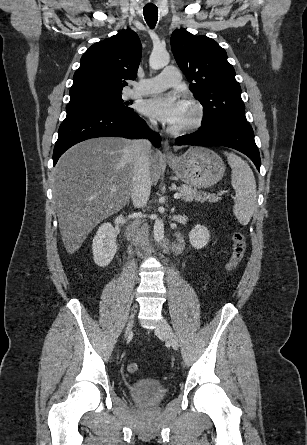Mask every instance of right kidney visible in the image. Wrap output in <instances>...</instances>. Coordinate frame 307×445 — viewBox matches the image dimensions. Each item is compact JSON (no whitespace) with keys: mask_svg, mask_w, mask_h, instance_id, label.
Listing matches in <instances>:
<instances>
[{"mask_svg":"<svg viewBox=\"0 0 307 445\" xmlns=\"http://www.w3.org/2000/svg\"><path fill=\"white\" fill-rule=\"evenodd\" d=\"M117 235L111 223H104L99 227L92 245L93 259L98 267H107L111 263L117 251Z\"/></svg>","mask_w":307,"mask_h":445,"instance_id":"1","label":"right kidney"}]
</instances>
